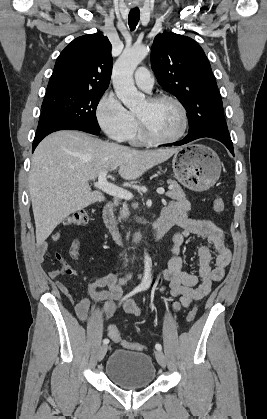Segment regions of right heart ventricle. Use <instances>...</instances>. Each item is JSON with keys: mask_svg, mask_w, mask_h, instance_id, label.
Masks as SVG:
<instances>
[{"mask_svg": "<svg viewBox=\"0 0 267 419\" xmlns=\"http://www.w3.org/2000/svg\"><path fill=\"white\" fill-rule=\"evenodd\" d=\"M128 140L134 144H139L144 142V138L141 136L138 125L136 123L135 120V127L134 130L132 131L130 137L128 138Z\"/></svg>", "mask_w": 267, "mask_h": 419, "instance_id": "right-heart-ventricle-1", "label": "right heart ventricle"}]
</instances>
